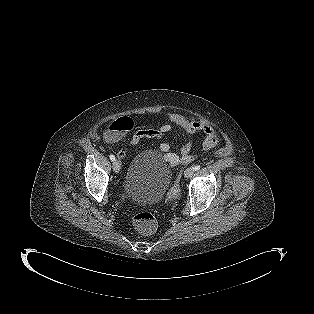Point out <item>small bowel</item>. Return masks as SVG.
I'll use <instances>...</instances> for the list:
<instances>
[{"instance_id":"obj_1","label":"small bowel","mask_w":314,"mask_h":314,"mask_svg":"<svg viewBox=\"0 0 314 314\" xmlns=\"http://www.w3.org/2000/svg\"><path fill=\"white\" fill-rule=\"evenodd\" d=\"M174 127L180 128L187 139L181 146V156L170 151L171 146L167 142L158 145V150L162 157L172 167L177 166L181 161H189L192 158V142L190 136L201 133L203 135L202 148L209 151L215 148L219 143L217 131L209 124L194 120L190 121L177 113H171L167 122L163 123L158 129L144 128L134 132L129 143V148L137 146L144 139L160 140L165 134L173 130ZM127 148H122L118 152V157L124 159L127 155Z\"/></svg>"}]
</instances>
